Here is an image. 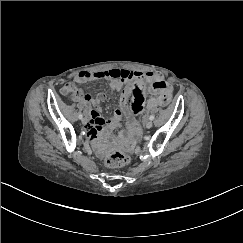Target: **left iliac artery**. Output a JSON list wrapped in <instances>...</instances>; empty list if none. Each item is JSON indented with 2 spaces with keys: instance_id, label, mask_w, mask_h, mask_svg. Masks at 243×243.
Instances as JSON below:
<instances>
[{
  "instance_id": "1",
  "label": "left iliac artery",
  "mask_w": 243,
  "mask_h": 243,
  "mask_svg": "<svg viewBox=\"0 0 243 243\" xmlns=\"http://www.w3.org/2000/svg\"><path fill=\"white\" fill-rule=\"evenodd\" d=\"M149 119L154 120V115H150Z\"/></svg>"
}]
</instances>
